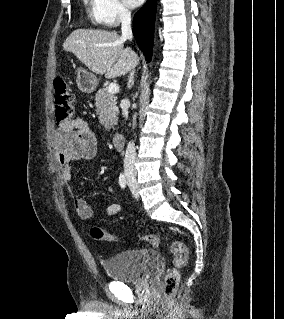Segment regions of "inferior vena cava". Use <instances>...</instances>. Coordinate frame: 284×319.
Masks as SVG:
<instances>
[{
    "instance_id": "inferior-vena-cava-1",
    "label": "inferior vena cava",
    "mask_w": 284,
    "mask_h": 319,
    "mask_svg": "<svg viewBox=\"0 0 284 319\" xmlns=\"http://www.w3.org/2000/svg\"><path fill=\"white\" fill-rule=\"evenodd\" d=\"M121 31H122V38L124 40L129 39L132 40L133 34H132V28H131V13L130 11L124 9L121 13ZM133 78H134V70L130 73L129 81H128V88L131 87L133 84ZM129 100L123 99L121 101L120 107L122 109V114L125 118L128 117V107H129ZM135 157H136V151H135V145L133 142H129L127 145L125 158H124V168L126 171H134V164H135Z\"/></svg>"
}]
</instances>
